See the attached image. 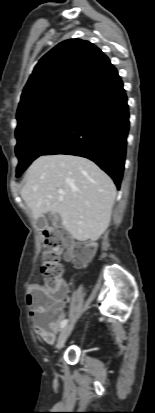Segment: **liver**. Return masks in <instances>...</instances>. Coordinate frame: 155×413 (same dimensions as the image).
I'll list each match as a JSON object with an SVG mask.
<instances>
[{
  "label": "liver",
  "mask_w": 155,
  "mask_h": 413,
  "mask_svg": "<svg viewBox=\"0 0 155 413\" xmlns=\"http://www.w3.org/2000/svg\"><path fill=\"white\" fill-rule=\"evenodd\" d=\"M21 196L34 219L57 213L74 239L96 241L109 226L116 187L94 162L56 154L31 164Z\"/></svg>",
  "instance_id": "liver-1"
}]
</instances>
